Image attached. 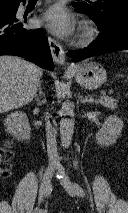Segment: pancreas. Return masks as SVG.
I'll return each mask as SVG.
<instances>
[{"label": "pancreas", "instance_id": "cf45deb5", "mask_svg": "<svg viewBox=\"0 0 128 213\" xmlns=\"http://www.w3.org/2000/svg\"><path fill=\"white\" fill-rule=\"evenodd\" d=\"M97 103L108 109H115L118 107V100L111 97H101L98 99Z\"/></svg>", "mask_w": 128, "mask_h": 213}]
</instances>
